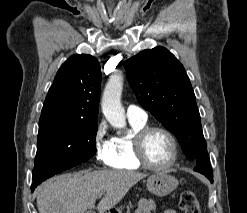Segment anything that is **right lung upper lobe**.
Masks as SVG:
<instances>
[{
  "mask_svg": "<svg viewBox=\"0 0 247 213\" xmlns=\"http://www.w3.org/2000/svg\"><path fill=\"white\" fill-rule=\"evenodd\" d=\"M101 71L91 55H73L61 66L45 99L39 122L97 123Z\"/></svg>",
  "mask_w": 247,
  "mask_h": 213,
  "instance_id": "obj_1",
  "label": "right lung upper lobe"
}]
</instances>
